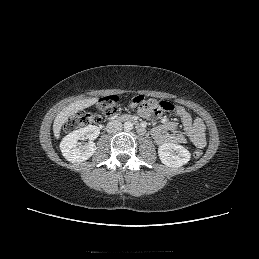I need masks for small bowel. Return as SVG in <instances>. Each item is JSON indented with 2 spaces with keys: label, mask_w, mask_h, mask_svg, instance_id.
Returning a JSON list of instances; mask_svg holds the SVG:
<instances>
[{
  "label": "small bowel",
  "mask_w": 259,
  "mask_h": 259,
  "mask_svg": "<svg viewBox=\"0 0 259 259\" xmlns=\"http://www.w3.org/2000/svg\"><path fill=\"white\" fill-rule=\"evenodd\" d=\"M180 118L183 131L175 132L177 123L173 120L167 121L152 130V137L157 144L165 143H186L189 142L197 148H203L206 145V128L200 118H193L182 106H176L174 109ZM142 117H149L150 114L139 109Z\"/></svg>",
  "instance_id": "obj_1"
}]
</instances>
